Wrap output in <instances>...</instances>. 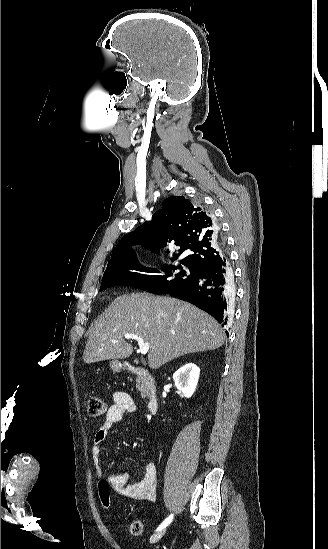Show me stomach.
I'll use <instances>...</instances> for the list:
<instances>
[{
	"mask_svg": "<svg viewBox=\"0 0 328 549\" xmlns=\"http://www.w3.org/2000/svg\"><path fill=\"white\" fill-rule=\"evenodd\" d=\"M110 367L113 373H121L122 369L129 367V365L128 363H121V361H116V359H114V361H110Z\"/></svg>",
	"mask_w": 328,
	"mask_h": 549,
	"instance_id": "1",
	"label": "stomach"
}]
</instances>
